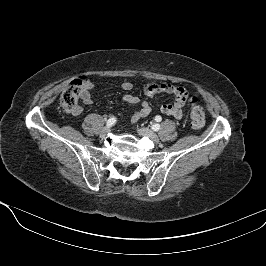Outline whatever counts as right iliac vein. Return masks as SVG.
<instances>
[{
    "instance_id": "obj_1",
    "label": "right iliac vein",
    "mask_w": 266,
    "mask_h": 266,
    "mask_svg": "<svg viewBox=\"0 0 266 266\" xmlns=\"http://www.w3.org/2000/svg\"><path fill=\"white\" fill-rule=\"evenodd\" d=\"M110 131H111V130H110L109 127H104V128L101 130V132H100V136H101L102 138H104V137H106V136L109 134Z\"/></svg>"
}]
</instances>
